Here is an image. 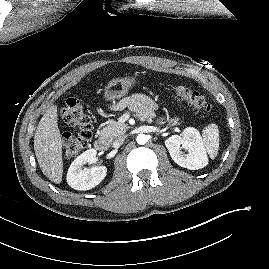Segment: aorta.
Wrapping results in <instances>:
<instances>
[{"instance_id":"aorta-1","label":"aorta","mask_w":269,"mask_h":269,"mask_svg":"<svg viewBox=\"0 0 269 269\" xmlns=\"http://www.w3.org/2000/svg\"><path fill=\"white\" fill-rule=\"evenodd\" d=\"M136 141L140 145H144L147 142V136L145 134H139L136 138Z\"/></svg>"}]
</instances>
